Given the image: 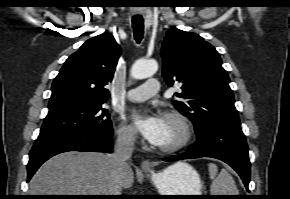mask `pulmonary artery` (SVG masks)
Masks as SVG:
<instances>
[{"instance_id": "obj_1", "label": "pulmonary artery", "mask_w": 290, "mask_h": 199, "mask_svg": "<svg viewBox=\"0 0 290 199\" xmlns=\"http://www.w3.org/2000/svg\"><path fill=\"white\" fill-rule=\"evenodd\" d=\"M160 83L156 79L148 80L145 84L132 88L126 92L125 97L134 102L145 101L150 97L158 94Z\"/></svg>"}]
</instances>
